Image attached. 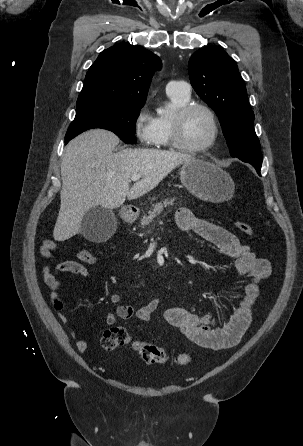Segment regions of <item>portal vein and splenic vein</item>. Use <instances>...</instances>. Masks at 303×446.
Returning a JSON list of instances; mask_svg holds the SVG:
<instances>
[{"mask_svg": "<svg viewBox=\"0 0 303 446\" xmlns=\"http://www.w3.org/2000/svg\"><path fill=\"white\" fill-rule=\"evenodd\" d=\"M141 178V175H133L132 177H131V179L133 180V181H137V180H139Z\"/></svg>", "mask_w": 303, "mask_h": 446, "instance_id": "1", "label": "portal vein and splenic vein"}]
</instances>
